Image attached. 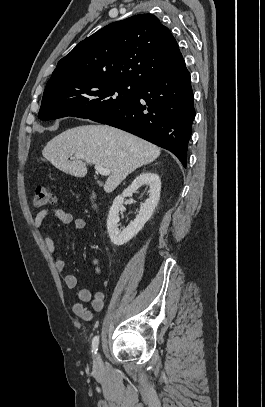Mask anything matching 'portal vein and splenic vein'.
<instances>
[{"label":"portal vein and splenic vein","instance_id":"1","mask_svg":"<svg viewBox=\"0 0 265 407\" xmlns=\"http://www.w3.org/2000/svg\"><path fill=\"white\" fill-rule=\"evenodd\" d=\"M83 158V156L82 155H74L73 157H72V159H82ZM95 170L98 172V173H100L102 176H108V175H110V170L109 169H107V168H104L103 166H101V165H95Z\"/></svg>","mask_w":265,"mask_h":407}]
</instances>
